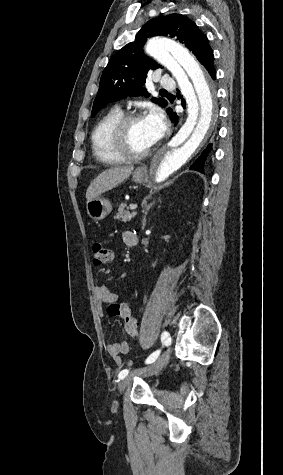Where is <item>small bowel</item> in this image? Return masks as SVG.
<instances>
[{
    "label": "small bowel",
    "mask_w": 283,
    "mask_h": 475,
    "mask_svg": "<svg viewBox=\"0 0 283 475\" xmlns=\"http://www.w3.org/2000/svg\"><path fill=\"white\" fill-rule=\"evenodd\" d=\"M123 240L127 246H134L137 242V237L131 232H125ZM93 294L96 306L101 312L105 304L110 305L111 298H117L116 294L106 284H96L93 287ZM128 310V312H131L130 308ZM108 313L112 317L117 316L110 309ZM128 352L129 344L124 340L108 345V353L118 366L122 364V356L128 354Z\"/></svg>",
    "instance_id": "1"
}]
</instances>
